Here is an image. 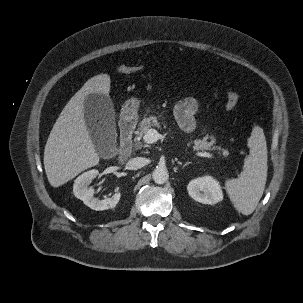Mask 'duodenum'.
<instances>
[{
    "label": "duodenum",
    "instance_id": "duodenum-1",
    "mask_svg": "<svg viewBox=\"0 0 303 303\" xmlns=\"http://www.w3.org/2000/svg\"><path fill=\"white\" fill-rule=\"evenodd\" d=\"M135 126L136 120L132 116H125L120 122V148L118 158L121 161L126 160L132 153V137Z\"/></svg>",
    "mask_w": 303,
    "mask_h": 303
}]
</instances>
